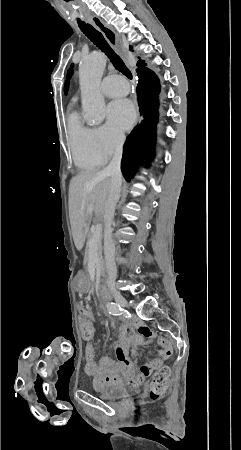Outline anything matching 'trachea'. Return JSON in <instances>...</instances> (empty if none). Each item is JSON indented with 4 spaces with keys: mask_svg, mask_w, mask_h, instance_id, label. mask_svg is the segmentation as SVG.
Returning a JSON list of instances; mask_svg holds the SVG:
<instances>
[{
    "mask_svg": "<svg viewBox=\"0 0 241 450\" xmlns=\"http://www.w3.org/2000/svg\"><path fill=\"white\" fill-rule=\"evenodd\" d=\"M78 25L80 27V30L84 33V35L91 40V42L96 45V47L100 48L102 52H104L107 57L110 59V61L113 63V66L118 70L119 72L123 73L127 78L130 80L132 79V73L130 72L129 68L125 65L122 58L117 55V53L112 50L110 45L107 43L105 38L103 37L102 33L98 32L96 28H94L89 23L84 22H78Z\"/></svg>",
    "mask_w": 241,
    "mask_h": 450,
    "instance_id": "trachea-1",
    "label": "trachea"
}]
</instances>
